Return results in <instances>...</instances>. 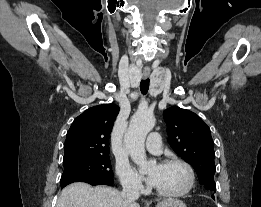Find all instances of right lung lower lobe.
Masks as SVG:
<instances>
[{"instance_id": "98d812e1", "label": "right lung lower lobe", "mask_w": 261, "mask_h": 207, "mask_svg": "<svg viewBox=\"0 0 261 207\" xmlns=\"http://www.w3.org/2000/svg\"><path fill=\"white\" fill-rule=\"evenodd\" d=\"M82 182L89 183L91 185H100V184H105V185H112L114 183L113 179H105V178H99V179H85L81 180ZM76 182V181H75ZM72 183V182H70ZM63 184L61 185V188H64L66 185L70 184Z\"/></svg>"}]
</instances>
